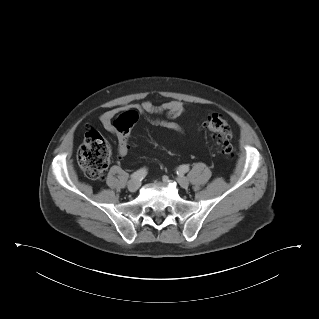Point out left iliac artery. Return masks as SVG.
Returning <instances> with one entry per match:
<instances>
[{
  "instance_id": "obj_1",
  "label": "left iliac artery",
  "mask_w": 319,
  "mask_h": 319,
  "mask_svg": "<svg viewBox=\"0 0 319 319\" xmlns=\"http://www.w3.org/2000/svg\"><path fill=\"white\" fill-rule=\"evenodd\" d=\"M179 172L180 173H186L189 171V166L188 165H181L179 168H178Z\"/></svg>"
}]
</instances>
